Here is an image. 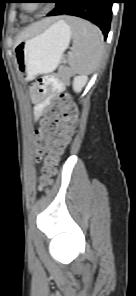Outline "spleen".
I'll use <instances>...</instances> for the list:
<instances>
[{"instance_id": "spleen-1", "label": "spleen", "mask_w": 136, "mask_h": 296, "mask_svg": "<svg viewBox=\"0 0 136 296\" xmlns=\"http://www.w3.org/2000/svg\"><path fill=\"white\" fill-rule=\"evenodd\" d=\"M68 23L73 33L69 66L74 73L91 74L97 69L102 58L104 50L102 32L90 22L76 17H70Z\"/></svg>"}]
</instances>
